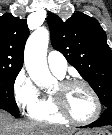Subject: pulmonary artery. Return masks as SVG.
Masks as SVG:
<instances>
[{"mask_svg": "<svg viewBox=\"0 0 112 135\" xmlns=\"http://www.w3.org/2000/svg\"><path fill=\"white\" fill-rule=\"evenodd\" d=\"M47 62L50 70L58 77L62 78L67 71V61L64 56L55 50L49 52Z\"/></svg>", "mask_w": 112, "mask_h": 135, "instance_id": "pulmonary-artery-1", "label": "pulmonary artery"}]
</instances>
